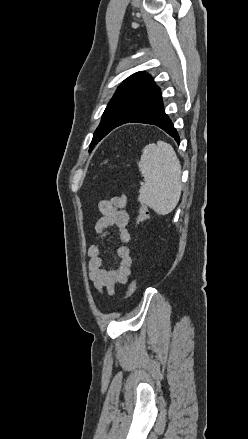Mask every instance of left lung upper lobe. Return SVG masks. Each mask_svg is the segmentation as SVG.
Here are the masks:
<instances>
[{
  "instance_id": "5c2ea615",
  "label": "left lung upper lobe",
  "mask_w": 248,
  "mask_h": 439,
  "mask_svg": "<svg viewBox=\"0 0 248 439\" xmlns=\"http://www.w3.org/2000/svg\"><path fill=\"white\" fill-rule=\"evenodd\" d=\"M155 86L152 77L144 72H137L118 87L108 103L99 126L94 132L90 144L91 151Z\"/></svg>"
}]
</instances>
